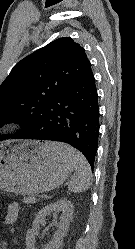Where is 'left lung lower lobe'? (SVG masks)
<instances>
[{"label": "left lung lower lobe", "mask_w": 135, "mask_h": 249, "mask_svg": "<svg viewBox=\"0 0 135 249\" xmlns=\"http://www.w3.org/2000/svg\"><path fill=\"white\" fill-rule=\"evenodd\" d=\"M99 115L97 88L91 71L49 105L33 131L18 139L68 143L86 157L93 169L98 148Z\"/></svg>", "instance_id": "obj_1"}]
</instances>
